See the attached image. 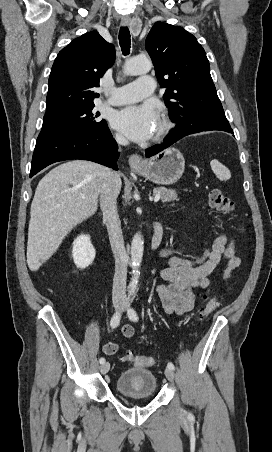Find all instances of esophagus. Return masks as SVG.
I'll return each instance as SVG.
<instances>
[{"instance_id":"1","label":"esophagus","mask_w":272,"mask_h":452,"mask_svg":"<svg viewBox=\"0 0 272 452\" xmlns=\"http://www.w3.org/2000/svg\"><path fill=\"white\" fill-rule=\"evenodd\" d=\"M121 24L123 26H128L130 24V18L129 17H123L121 20ZM129 165L131 168H137L143 165V159L138 154H132L129 157Z\"/></svg>"}]
</instances>
